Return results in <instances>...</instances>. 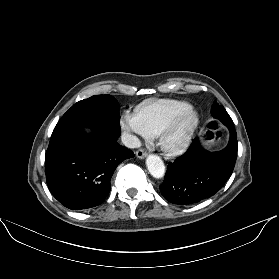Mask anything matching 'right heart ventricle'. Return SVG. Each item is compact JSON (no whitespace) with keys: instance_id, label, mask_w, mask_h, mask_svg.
<instances>
[{"instance_id":"1","label":"right heart ventricle","mask_w":279,"mask_h":279,"mask_svg":"<svg viewBox=\"0 0 279 279\" xmlns=\"http://www.w3.org/2000/svg\"><path fill=\"white\" fill-rule=\"evenodd\" d=\"M190 107L189 103L180 100L155 99L140 104L136 114L146 134L149 137H157L176 114Z\"/></svg>"}]
</instances>
